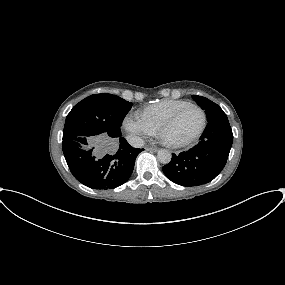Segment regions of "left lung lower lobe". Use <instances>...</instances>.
<instances>
[{
    "label": "left lung lower lobe",
    "instance_id": "1",
    "mask_svg": "<svg viewBox=\"0 0 285 285\" xmlns=\"http://www.w3.org/2000/svg\"><path fill=\"white\" fill-rule=\"evenodd\" d=\"M232 142L233 133L227 117L212 119L200 142L187 152L172 154V160L162 170L168 179L181 186L206 184L223 170Z\"/></svg>",
    "mask_w": 285,
    "mask_h": 285
}]
</instances>
